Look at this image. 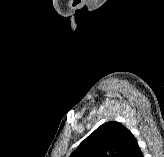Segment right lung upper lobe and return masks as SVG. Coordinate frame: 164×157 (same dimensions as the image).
Returning a JSON list of instances; mask_svg holds the SVG:
<instances>
[{
	"instance_id": "cb5924a9",
	"label": "right lung upper lobe",
	"mask_w": 164,
	"mask_h": 157,
	"mask_svg": "<svg viewBox=\"0 0 164 157\" xmlns=\"http://www.w3.org/2000/svg\"><path fill=\"white\" fill-rule=\"evenodd\" d=\"M137 143L118 122H107L91 133L69 157H127Z\"/></svg>"
}]
</instances>
